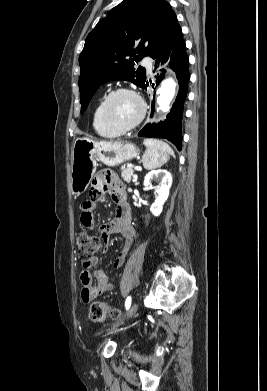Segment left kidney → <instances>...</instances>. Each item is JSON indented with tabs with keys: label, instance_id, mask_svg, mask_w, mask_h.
Segmentation results:
<instances>
[{
	"label": "left kidney",
	"instance_id": "obj_1",
	"mask_svg": "<svg viewBox=\"0 0 267 391\" xmlns=\"http://www.w3.org/2000/svg\"><path fill=\"white\" fill-rule=\"evenodd\" d=\"M158 183L155 193L157 197L155 202L151 205V212L154 216H159L162 213L163 205L169 197V191L172 185V175L167 170H154L149 172L144 179V186L152 185V182Z\"/></svg>",
	"mask_w": 267,
	"mask_h": 391
}]
</instances>
